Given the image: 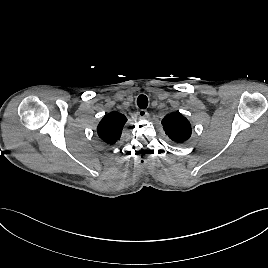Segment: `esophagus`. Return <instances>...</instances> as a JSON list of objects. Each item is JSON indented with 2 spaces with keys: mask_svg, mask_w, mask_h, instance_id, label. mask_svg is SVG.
<instances>
[{
  "mask_svg": "<svg viewBox=\"0 0 268 268\" xmlns=\"http://www.w3.org/2000/svg\"><path fill=\"white\" fill-rule=\"evenodd\" d=\"M137 115H138L139 118L143 119V118H145V117L147 116V112H146V110H144V109H140V110L137 112Z\"/></svg>",
  "mask_w": 268,
  "mask_h": 268,
  "instance_id": "obj_1",
  "label": "esophagus"
}]
</instances>
